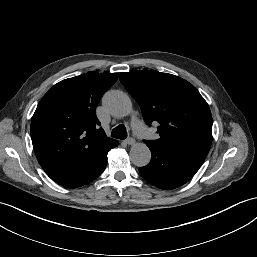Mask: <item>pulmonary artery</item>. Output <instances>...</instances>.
I'll return each instance as SVG.
<instances>
[{"instance_id": "e3ab8cb5", "label": "pulmonary artery", "mask_w": 257, "mask_h": 257, "mask_svg": "<svg viewBox=\"0 0 257 257\" xmlns=\"http://www.w3.org/2000/svg\"><path fill=\"white\" fill-rule=\"evenodd\" d=\"M133 131L140 136H145L147 134V129L144 123L139 119H133L131 122Z\"/></svg>"}]
</instances>
